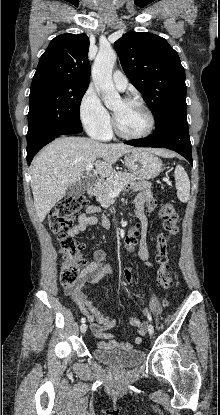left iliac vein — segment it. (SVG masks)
Listing matches in <instances>:
<instances>
[{"label": "left iliac vein", "instance_id": "1", "mask_svg": "<svg viewBox=\"0 0 220 415\" xmlns=\"http://www.w3.org/2000/svg\"><path fill=\"white\" fill-rule=\"evenodd\" d=\"M148 333H149L150 335H153V334H154V327H153V325H151V324H149V325H148Z\"/></svg>", "mask_w": 220, "mask_h": 415}]
</instances>
